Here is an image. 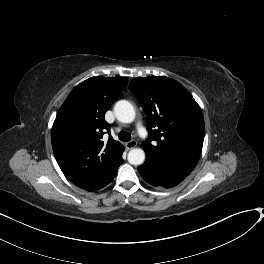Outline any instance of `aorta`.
Instances as JSON below:
<instances>
[{
    "mask_svg": "<svg viewBox=\"0 0 264 264\" xmlns=\"http://www.w3.org/2000/svg\"><path fill=\"white\" fill-rule=\"evenodd\" d=\"M114 113L123 123H131L135 119V109L127 100L118 101L114 106ZM127 159L132 165H141L145 161V152L141 148H134L129 151Z\"/></svg>",
    "mask_w": 264,
    "mask_h": 264,
    "instance_id": "obj_1",
    "label": "aorta"
}]
</instances>
